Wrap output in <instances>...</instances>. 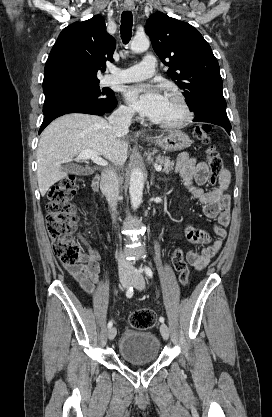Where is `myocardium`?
Instances as JSON below:
<instances>
[{
	"label": "myocardium",
	"mask_w": 272,
	"mask_h": 417,
	"mask_svg": "<svg viewBox=\"0 0 272 417\" xmlns=\"http://www.w3.org/2000/svg\"><path fill=\"white\" fill-rule=\"evenodd\" d=\"M167 96L175 99L181 106L183 111V116L174 122H157L154 121V124L158 127L165 130H176L185 127L189 124L193 118V112L191 106L183 93L177 90H172L167 93Z\"/></svg>",
	"instance_id": "obj_1"
}]
</instances>
